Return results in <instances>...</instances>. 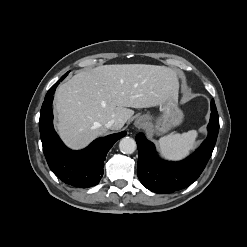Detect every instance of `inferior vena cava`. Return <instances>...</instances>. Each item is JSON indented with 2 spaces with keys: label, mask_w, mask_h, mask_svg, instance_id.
I'll use <instances>...</instances> for the list:
<instances>
[{
  "label": "inferior vena cava",
  "mask_w": 247,
  "mask_h": 247,
  "mask_svg": "<svg viewBox=\"0 0 247 247\" xmlns=\"http://www.w3.org/2000/svg\"><path fill=\"white\" fill-rule=\"evenodd\" d=\"M105 126L108 128V129H115L117 127V122L115 120H109Z\"/></svg>",
  "instance_id": "obj_1"
}]
</instances>
